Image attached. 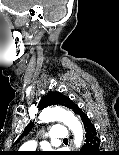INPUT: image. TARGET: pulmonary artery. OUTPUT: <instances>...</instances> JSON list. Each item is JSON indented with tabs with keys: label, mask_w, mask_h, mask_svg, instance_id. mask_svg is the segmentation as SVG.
I'll use <instances>...</instances> for the list:
<instances>
[{
	"label": "pulmonary artery",
	"mask_w": 119,
	"mask_h": 155,
	"mask_svg": "<svg viewBox=\"0 0 119 155\" xmlns=\"http://www.w3.org/2000/svg\"><path fill=\"white\" fill-rule=\"evenodd\" d=\"M50 142L55 141H63L67 138L68 132L67 129L64 126H55L49 130V132L46 135ZM23 149L32 150L36 148V142L35 141H28L23 146Z\"/></svg>",
	"instance_id": "e3ab8cb5"
}]
</instances>
